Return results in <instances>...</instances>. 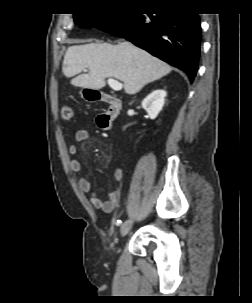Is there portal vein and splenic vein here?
I'll return each mask as SVG.
<instances>
[{
    "label": "portal vein and splenic vein",
    "mask_w": 252,
    "mask_h": 303,
    "mask_svg": "<svg viewBox=\"0 0 252 303\" xmlns=\"http://www.w3.org/2000/svg\"><path fill=\"white\" fill-rule=\"evenodd\" d=\"M107 82L114 91H120L123 88V84L113 78H109Z\"/></svg>",
    "instance_id": "18ae733b"
}]
</instances>
